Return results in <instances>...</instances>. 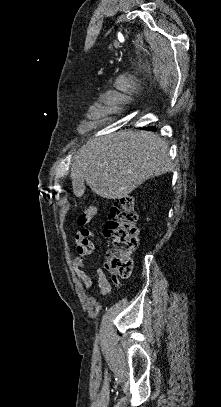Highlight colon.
<instances>
[{"instance_id": "obj_1", "label": "colon", "mask_w": 221, "mask_h": 407, "mask_svg": "<svg viewBox=\"0 0 221 407\" xmlns=\"http://www.w3.org/2000/svg\"><path fill=\"white\" fill-rule=\"evenodd\" d=\"M94 215L95 208L90 206L80 214L78 222L82 225L88 224ZM137 218L133 199L123 197L119 204L112 207L111 218L105 224L104 234L112 240L106 265L121 278L131 274L132 255L138 241ZM91 233V230L86 228L78 232L76 238H87Z\"/></svg>"}]
</instances>
